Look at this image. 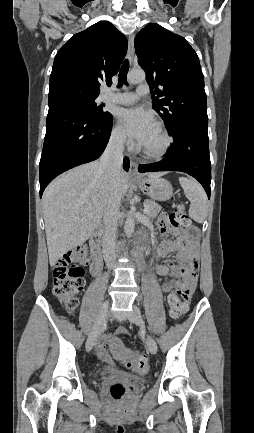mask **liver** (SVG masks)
Masks as SVG:
<instances>
[{
    "instance_id": "1",
    "label": "liver",
    "mask_w": 254,
    "mask_h": 433,
    "mask_svg": "<svg viewBox=\"0 0 254 433\" xmlns=\"http://www.w3.org/2000/svg\"><path fill=\"white\" fill-rule=\"evenodd\" d=\"M165 173H149L161 177ZM122 199L129 186L128 175L118 176ZM113 184L99 161L80 165L54 180L43 194V215L49 262L53 267L69 250L83 244L99 226L112 197Z\"/></svg>"
}]
</instances>
